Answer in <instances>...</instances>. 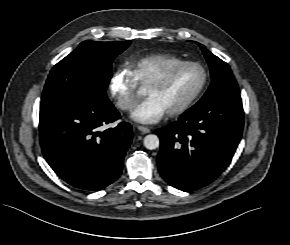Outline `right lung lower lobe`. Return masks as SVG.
Masks as SVG:
<instances>
[{"mask_svg":"<svg viewBox=\"0 0 290 245\" xmlns=\"http://www.w3.org/2000/svg\"><path fill=\"white\" fill-rule=\"evenodd\" d=\"M120 118L111 102L83 101L40 110L39 132L44 158L55 173L70 185L100 190L122 172L126 151L132 142L131 125L101 126Z\"/></svg>","mask_w":290,"mask_h":245,"instance_id":"98d812e1","label":"right lung lower lobe"}]
</instances>
